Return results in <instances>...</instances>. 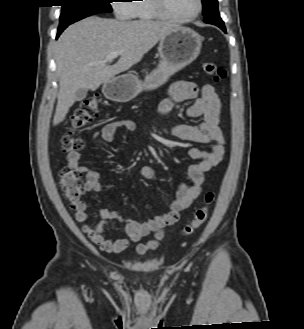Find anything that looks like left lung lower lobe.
<instances>
[{
    "label": "left lung lower lobe",
    "instance_id": "0a47b994",
    "mask_svg": "<svg viewBox=\"0 0 304 329\" xmlns=\"http://www.w3.org/2000/svg\"><path fill=\"white\" fill-rule=\"evenodd\" d=\"M204 22L216 25L226 33L224 22L219 15L218 7L212 9L204 16Z\"/></svg>",
    "mask_w": 304,
    "mask_h": 329
}]
</instances>
